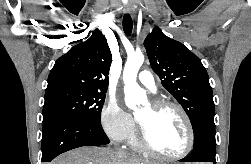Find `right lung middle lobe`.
Returning a JSON list of instances; mask_svg holds the SVG:
<instances>
[{
    "mask_svg": "<svg viewBox=\"0 0 251 164\" xmlns=\"http://www.w3.org/2000/svg\"><path fill=\"white\" fill-rule=\"evenodd\" d=\"M106 92L61 88L45 93L43 120L68 117L100 123Z\"/></svg>",
    "mask_w": 251,
    "mask_h": 164,
    "instance_id": "1",
    "label": "right lung middle lobe"
}]
</instances>
